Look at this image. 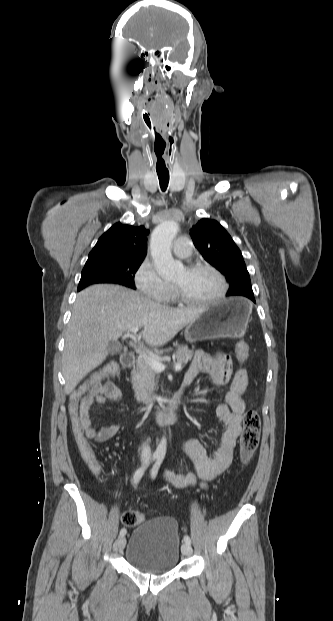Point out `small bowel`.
Instances as JSON below:
<instances>
[{
    "label": "small bowel",
    "mask_w": 333,
    "mask_h": 621,
    "mask_svg": "<svg viewBox=\"0 0 333 621\" xmlns=\"http://www.w3.org/2000/svg\"><path fill=\"white\" fill-rule=\"evenodd\" d=\"M200 373H206L215 384L229 383L226 400L216 409V415L225 429L212 455H209L206 448L194 437L184 438V451L192 460L197 476L169 471L164 473L167 482L181 489L195 485L205 489L208 482L224 473L232 463L237 439L242 431L245 395L249 384L247 370L240 368L233 372L230 359L224 353L213 355L199 351L185 375L184 385H191ZM122 395L121 389L112 381L92 385L85 383L73 394V397L76 396L78 399L79 416L87 439L104 442L118 433L117 424H103L95 429L90 411L94 404L102 405L107 400L119 401Z\"/></svg>",
    "instance_id": "1"
}]
</instances>
